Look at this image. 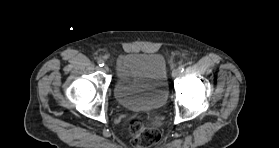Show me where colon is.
I'll return each instance as SVG.
<instances>
[{
	"mask_svg": "<svg viewBox=\"0 0 279 148\" xmlns=\"http://www.w3.org/2000/svg\"><path fill=\"white\" fill-rule=\"evenodd\" d=\"M125 128L137 148H149L161 138L156 123L139 115L130 116L126 120Z\"/></svg>",
	"mask_w": 279,
	"mask_h": 148,
	"instance_id": "obj_1",
	"label": "colon"
}]
</instances>
